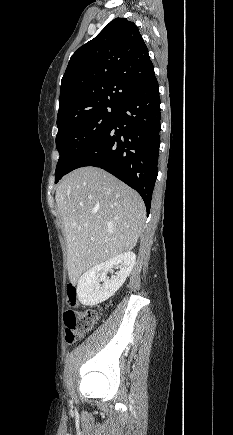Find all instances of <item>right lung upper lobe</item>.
Here are the masks:
<instances>
[{"instance_id":"cb5924a9","label":"right lung upper lobe","mask_w":233,"mask_h":435,"mask_svg":"<svg viewBox=\"0 0 233 435\" xmlns=\"http://www.w3.org/2000/svg\"><path fill=\"white\" fill-rule=\"evenodd\" d=\"M153 75L137 26L116 18L72 55L61 80L57 123L99 106H120Z\"/></svg>"}]
</instances>
